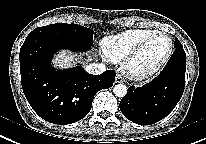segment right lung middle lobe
Returning a JSON list of instances; mask_svg holds the SVG:
<instances>
[{"instance_id": "obj_1", "label": "right lung middle lobe", "mask_w": 206, "mask_h": 144, "mask_svg": "<svg viewBox=\"0 0 206 144\" xmlns=\"http://www.w3.org/2000/svg\"><path fill=\"white\" fill-rule=\"evenodd\" d=\"M93 34V30L87 27L77 24L59 23L38 27L26 39L42 36L90 48L93 45Z\"/></svg>"}]
</instances>
